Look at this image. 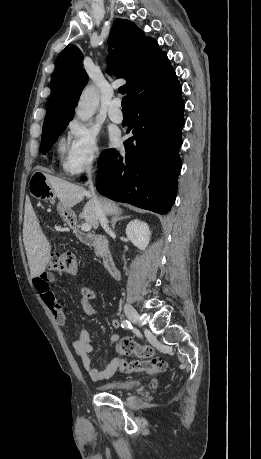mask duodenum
<instances>
[{
  "label": "duodenum",
  "mask_w": 261,
  "mask_h": 459,
  "mask_svg": "<svg viewBox=\"0 0 261 459\" xmlns=\"http://www.w3.org/2000/svg\"><path fill=\"white\" fill-rule=\"evenodd\" d=\"M74 236L83 244L88 246H97L101 252L102 262L105 269L113 277H118L119 271L116 266L113 255L109 249L108 241L100 235L86 234L80 231L75 225L71 226Z\"/></svg>",
  "instance_id": "1"
}]
</instances>
